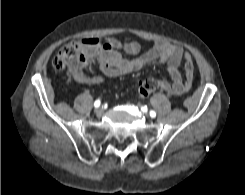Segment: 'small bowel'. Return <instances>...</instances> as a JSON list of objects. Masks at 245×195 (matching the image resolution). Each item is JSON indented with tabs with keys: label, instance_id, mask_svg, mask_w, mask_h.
Wrapping results in <instances>:
<instances>
[{
	"label": "small bowel",
	"instance_id": "c3829d8e",
	"mask_svg": "<svg viewBox=\"0 0 245 195\" xmlns=\"http://www.w3.org/2000/svg\"><path fill=\"white\" fill-rule=\"evenodd\" d=\"M89 60L95 64L103 74L109 77L122 76L148 65L166 64L172 82L161 81V89L175 96H180L190 90L194 78V62L192 56L181 46L174 45L164 40L156 41L146 53H140L141 45L137 41L122 44L116 38H108L101 42L97 38H87L82 41ZM184 61V75L179 71L181 62ZM78 80L88 84L96 85L103 81V78L96 76Z\"/></svg>",
	"mask_w": 245,
	"mask_h": 195
}]
</instances>
